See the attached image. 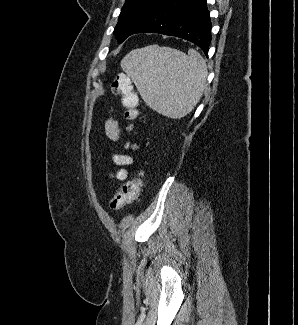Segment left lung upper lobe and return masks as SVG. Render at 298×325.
<instances>
[{
  "label": "left lung upper lobe",
  "mask_w": 298,
  "mask_h": 325,
  "mask_svg": "<svg viewBox=\"0 0 298 325\" xmlns=\"http://www.w3.org/2000/svg\"><path fill=\"white\" fill-rule=\"evenodd\" d=\"M163 0H126L114 34L119 43L130 36L132 30Z\"/></svg>",
  "instance_id": "left-lung-upper-lobe-1"
}]
</instances>
